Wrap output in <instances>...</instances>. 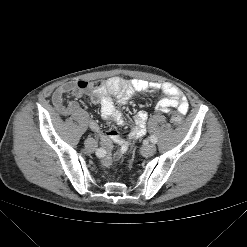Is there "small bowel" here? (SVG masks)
<instances>
[{
  "instance_id": "1",
  "label": "small bowel",
  "mask_w": 247,
  "mask_h": 247,
  "mask_svg": "<svg viewBox=\"0 0 247 247\" xmlns=\"http://www.w3.org/2000/svg\"><path fill=\"white\" fill-rule=\"evenodd\" d=\"M159 92L164 94V97L156 104V109L159 112L168 114L172 109L176 108L181 114L187 113L189 108L188 101L179 88L168 83L159 84L139 79L126 80L120 77L109 78L104 85L95 90H91L86 81L66 82L53 92L52 102L61 116L76 115L80 112L78 103L74 100L65 103L64 96L70 94L75 98H80L84 95H89L92 103L100 106L101 116L105 121L121 125L123 124V119L115 108L113 96L118 103L123 104L139 93L157 94ZM146 120V112L140 111L136 114L134 118L135 127L131 132L132 138H137L145 133ZM89 126L95 132L100 131L98 123L93 119L89 121ZM101 142L109 151L113 149V144L119 146L114 156L116 159L120 158L128 150V143L122 140L115 131L103 134ZM111 163V156L104 158V165L108 166Z\"/></svg>"
}]
</instances>
